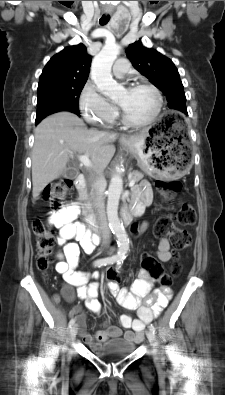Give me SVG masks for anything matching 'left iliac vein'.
I'll use <instances>...</instances> for the list:
<instances>
[{
  "mask_svg": "<svg viewBox=\"0 0 225 395\" xmlns=\"http://www.w3.org/2000/svg\"><path fill=\"white\" fill-rule=\"evenodd\" d=\"M147 338H148L149 342L151 343V345H153L155 347L156 346V337H155V334L151 330L147 331Z\"/></svg>",
  "mask_w": 225,
  "mask_h": 395,
  "instance_id": "1",
  "label": "left iliac vein"
}]
</instances>
